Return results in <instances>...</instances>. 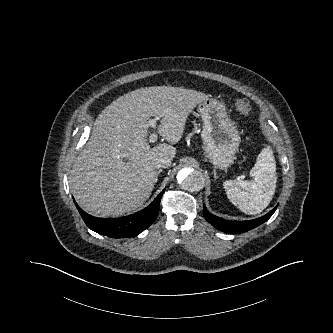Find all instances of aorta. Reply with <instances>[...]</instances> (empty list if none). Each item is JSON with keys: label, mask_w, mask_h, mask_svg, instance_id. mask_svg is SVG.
I'll return each mask as SVG.
<instances>
[{"label": "aorta", "mask_w": 333, "mask_h": 333, "mask_svg": "<svg viewBox=\"0 0 333 333\" xmlns=\"http://www.w3.org/2000/svg\"><path fill=\"white\" fill-rule=\"evenodd\" d=\"M177 181L186 192H198L205 186V178L198 170L190 168L181 169L177 174Z\"/></svg>", "instance_id": "obj_1"}]
</instances>
